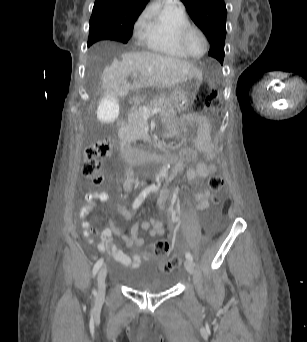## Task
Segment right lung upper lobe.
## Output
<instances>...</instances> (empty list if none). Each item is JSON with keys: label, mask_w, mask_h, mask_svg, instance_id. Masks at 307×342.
<instances>
[{"label": "right lung upper lobe", "mask_w": 307, "mask_h": 342, "mask_svg": "<svg viewBox=\"0 0 307 342\" xmlns=\"http://www.w3.org/2000/svg\"><path fill=\"white\" fill-rule=\"evenodd\" d=\"M149 0H96L90 26L109 31L132 32Z\"/></svg>", "instance_id": "obj_1"}]
</instances>
